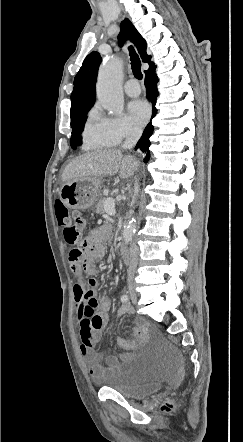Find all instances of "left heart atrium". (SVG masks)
<instances>
[{"mask_svg":"<svg viewBox=\"0 0 243 442\" xmlns=\"http://www.w3.org/2000/svg\"><path fill=\"white\" fill-rule=\"evenodd\" d=\"M128 112L132 121L139 126L144 125L150 116L149 105L140 99L130 102Z\"/></svg>","mask_w":243,"mask_h":442,"instance_id":"1","label":"left heart atrium"}]
</instances>
